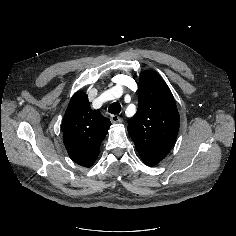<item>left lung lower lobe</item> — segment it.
<instances>
[{"mask_svg":"<svg viewBox=\"0 0 236 236\" xmlns=\"http://www.w3.org/2000/svg\"><path fill=\"white\" fill-rule=\"evenodd\" d=\"M142 160L144 161V163L148 166H155L157 165L159 162L157 161H154V160H151V159H145V158H142Z\"/></svg>","mask_w":236,"mask_h":236,"instance_id":"0a47b994","label":"left lung lower lobe"}]
</instances>
